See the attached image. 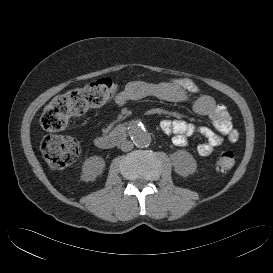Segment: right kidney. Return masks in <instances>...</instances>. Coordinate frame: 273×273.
Segmentation results:
<instances>
[{
  "instance_id": "ca27d5eb",
  "label": "right kidney",
  "mask_w": 273,
  "mask_h": 273,
  "mask_svg": "<svg viewBox=\"0 0 273 273\" xmlns=\"http://www.w3.org/2000/svg\"><path fill=\"white\" fill-rule=\"evenodd\" d=\"M105 161L99 156H91L86 159L82 166V178L85 181L95 180L103 172Z\"/></svg>"
}]
</instances>
